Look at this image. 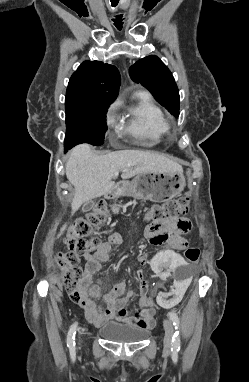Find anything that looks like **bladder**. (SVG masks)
Masks as SVG:
<instances>
[{"label":"bladder","instance_id":"obj_1","mask_svg":"<svg viewBox=\"0 0 249 382\" xmlns=\"http://www.w3.org/2000/svg\"><path fill=\"white\" fill-rule=\"evenodd\" d=\"M149 329L127 322L111 320L103 324L99 333L103 339L117 343H136L149 335Z\"/></svg>","mask_w":249,"mask_h":382}]
</instances>
